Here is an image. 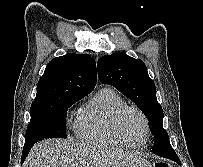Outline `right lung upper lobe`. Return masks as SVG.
<instances>
[{
    "label": "right lung upper lobe",
    "mask_w": 203,
    "mask_h": 167,
    "mask_svg": "<svg viewBox=\"0 0 203 167\" xmlns=\"http://www.w3.org/2000/svg\"><path fill=\"white\" fill-rule=\"evenodd\" d=\"M95 60L87 54L68 53L52 59L37 85L31 106L49 105L72 97H84L95 87Z\"/></svg>",
    "instance_id": "obj_1"
}]
</instances>
